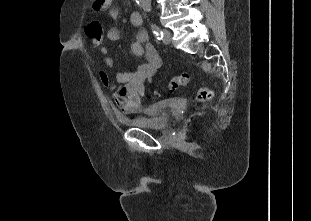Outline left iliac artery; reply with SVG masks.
Returning a JSON list of instances; mask_svg holds the SVG:
<instances>
[{
  "instance_id": "44dca946",
  "label": "left iliac artery",
  "mask_w": 311,
  "mask_h": 221,
  "mask_svg": "<svg viewBox=\"0 0 311 221\" xmlns=\"http://www.w3.org/2000/svg\"><path fill=\"white\" fill-rule=\"evenodd\" d=\"M151 29H152L154 36L157 40L163 39V32L159 26H157L155 23H151Z\"/></svg>"
}]
</instances>
